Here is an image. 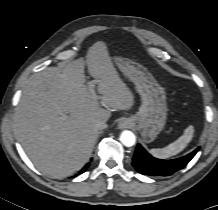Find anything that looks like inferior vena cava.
Masks as SVG:
<instances>
[{"label":"inferior vena cava","mask_w":218,"mask_h":210,"mask_svg":"<svg viewBox=\"0 0 218 210\" xmlns=\"http://www.w3.org/2000/svg\"><path fill=\"white\" fill-rule=\"evenodd\" d=\"M95 127L97 130H102V129L107 128V124L105 121H98L96 122Z\"/></svg>","instance_id":"obj_1"}]
</instances>
